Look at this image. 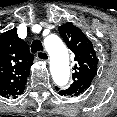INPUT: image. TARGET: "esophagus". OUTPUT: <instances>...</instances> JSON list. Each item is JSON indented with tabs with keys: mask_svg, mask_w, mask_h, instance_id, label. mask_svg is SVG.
<instances>
[{
	"mask_svg": "<svg viewBox=\"0 0 117 117\" xmlns=\"http://www.w3.org/2000/svg\"><path fill=\"white\" fill-rule=\"evenodd\" d=\"M37 58L41 61L48 62L49 60V55L45 51H41L37 53Z\"/></svg>",
	"mask_w": 117,
	"mask_h": 117,
	"instance_id": "esophagus-1",
	"label": "esophagus"
}]
</instances>
